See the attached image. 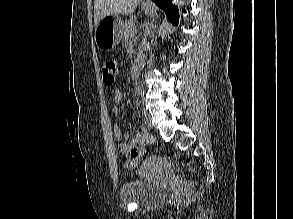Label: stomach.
I'll use <instances>...</instances> for the list:
<instances>
[{"instance_id":"0dacf381","label":"stomach","mask_w":293,"mask_h":219,"mask_svg":"<svg viewBox=\"0 0 293 219\" xmlns=\"http://www.w3.org/2000/svg\"><path fill=\"white\" fill-rule=\"evenodd\" d=\"M143 11L150 16L155 15L156 10L150 3L142 4ZM123 22L117 15L104 17L95 28V43L98 48L110 50L115 48L123 37Z\"/></svg>"}]
</instances>
